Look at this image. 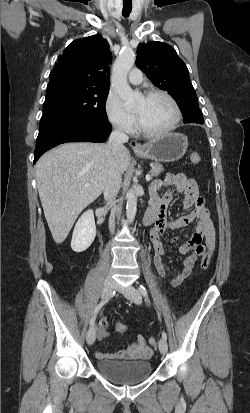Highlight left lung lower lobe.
<instances>
[{
  "instance_id": "1",
  "label": "left lung lower lobe",
  "mask_w": 250,
  "mask_h": 413,
  "mask_svg": "<svg viewBox=\"0 0 250 413\" xmlns=\"http://www.w3.org/2000/svg\"><path fill=\"white\" fill-rule=\"evenodd\" d=\"M183 121L184 123H200L203 124L204 123V118H203V114H187V115H183Z\"/></svg>"
}]
</instances>
